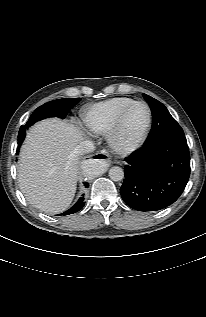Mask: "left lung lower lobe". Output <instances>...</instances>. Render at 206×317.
<instances>
[{
    "label": "left lung lower lobe",
    "mask_w": 206,
    "mask_h": 317,
    "mask_svg": "<svg viewBox=\"0 0 206 317\" xmlns=\"http://www.w3.org/2000/svg\"><path fill=\"white\" fill-rule=\"evenodd\" d=\"M120 194L138 211H156L174 203L190 175L187 141L167 139L144 145L126 158Z\"/></svg>",
    "instance_id": "1"
}]
</instances>
